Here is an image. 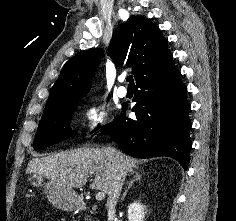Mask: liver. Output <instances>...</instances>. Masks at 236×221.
Instances as JSON below:
<instances>
[{"instance_id":"6515ba94","label":"liver","mask_w":236,"mask_h":221,"mask_svg":"<svg viewBox=\"0 0 236 221\" xmlns=\"http://www.w3.org/2000/svg\"><path fill=\"white\" fill-rule=\"evenodd\" d=\"M126 172L138 169L140 161L122 154ZM37 174L63 184L69 189L81 188L87 178L95 174L91 189L108 193L111 188L114 167L103 148H78L34 158L27 166L26 174Z\"/></svg>"}]
</instances>
